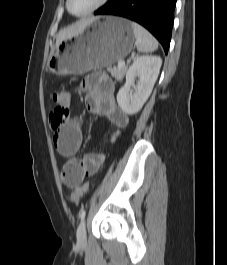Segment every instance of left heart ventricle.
<instances>
[{
  "label": "left heart ventricle",
  "mask_w": 227,
  "mask_h": 265,
  "mask_svg": "<svg viewBox=\"0 0 227 265\" xmlns=\"http://www.w3.org/2000/svg\"><path fill=\"white\" fill-rule=\"evenodd\" d=\"M99 0H70V10L80 14L92 8Z\"/></svg>",
  "instance_id": "obj_1"
}]
</instances>
